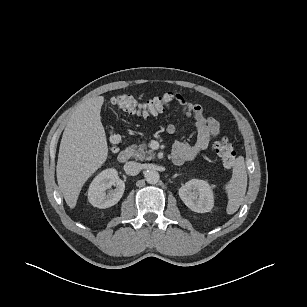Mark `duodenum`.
<instances>
[{
    "label": "duodenum",
    "mask_w": 307,
    "mask_h": 307,
    "mask_svg": "<svg viewBox=\"0 0 307 307\" xmlns=\"http://www.w3.org/2000/svg\"><path fill=\"white\" fill-rule=\"evenodd\" d=\"M132 152L129 149L122 150L118 154V161L120 163H125L131 158Z\"/></svg>",
    "instance_id": "duodenum-1"
}]
</instances>
